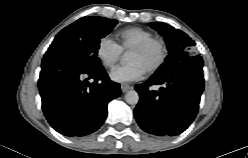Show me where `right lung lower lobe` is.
<instances>
[{"instance_id": "right-lung-lower-lobe-1", "label": "right lung lower lobe", "mask_w": 248, "mask_h": 158, "mask_svg": "<svg viewBox=\"0 0 248 158\" xmlns=\"http://www.w3.org/2000/svg\"><path fill=\"white\" fill-rule=\"evenodd\" d=\"M44 115L66 136H84L105 121L108 103L120 96L98 57L46 52L38 81Z\"/></svg>"}]
</instances>
